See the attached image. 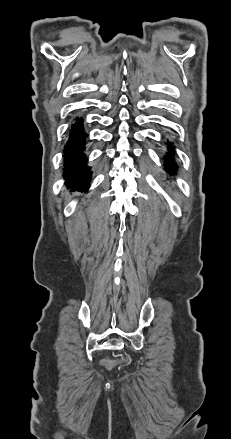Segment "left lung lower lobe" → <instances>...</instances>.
Instances as JSON below:
<instances>
[{"label":"left lung lower lobe","instance_id":"obj_1","mask_svg":"<svg viewBox=\"0 0 231 439\" xmlns=\"http://www.w3.org/2000/svg\"><path fill=\"white\" fill-rule=\"evenodd\" d=\"M165 167H166V171L167 172H173L174 170H176V164L175 162L172 160L171 156H168L165 160Z\"/></svg>","mask_w":231,"mask_h":439}]
</instances>
